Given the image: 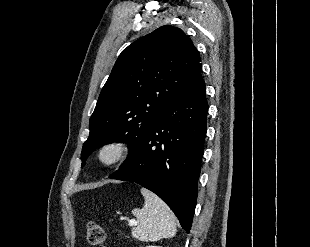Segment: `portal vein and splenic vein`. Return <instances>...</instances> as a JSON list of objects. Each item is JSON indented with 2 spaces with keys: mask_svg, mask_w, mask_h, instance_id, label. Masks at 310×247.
Segmentation results:
<instances>
[{
  "mask_svg": "<svg viewBox=\"0 0 310 247\" xmlns=\"http://www.w3.org/2000/svg\"><path fill=\"white\" fill-rule=\"evenodd\" d=\"M137 222L135 220H129V225L132 226V225H135Z\"/></svg>",
  "mask_w": 310,
  "mask_h": 247,
  "instance_id": "portal-vein-and-splenic-vein-1",
  "label": "portal vein and splenic vein"
}]
</instances>
